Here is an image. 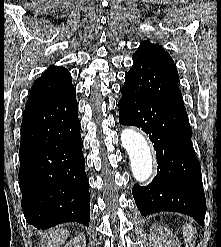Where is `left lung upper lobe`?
I'll return each instance as SVG.
<instances>
[{
    "label": "left lung upper lobe",
    "instance_id": "obj_1",
    "mask_svg": "<svg viewBox=\"0 0 221 247\" xmlns=\"http://www.w3.org/2000/svg\"><path fill=\"white\" fill-rule=\"evenodd\" d=\"M132 59L133 65L126 76L138 94L186 111L176 66L159 44L142 41Z\"/></svg>",
    "mask_w": 221,
    "mask_h": 247
}]
</instances>
